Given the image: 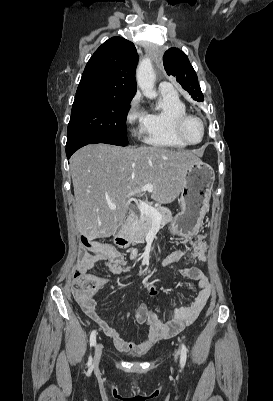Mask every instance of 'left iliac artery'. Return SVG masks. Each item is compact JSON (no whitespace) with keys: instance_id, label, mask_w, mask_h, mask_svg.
Here are the masks:
<instances>
[{"instance_id":"left-iliac-artery-1","label":"left iliac artery","mask_w":273,"mask_h":401,"mask_svg":"<svg viewBox=\"0 0 273 401\" xmlns=\"http://www.w3.org/2000/svg\"><path fill=\"white\" fill-rule=\"evenodd\" d=\"M186 358H187V348H186L185 344L183 343L181 346V356H180L181 367H184V365L186 363Z\"/></svg>"}]
</instances>
